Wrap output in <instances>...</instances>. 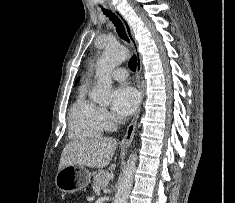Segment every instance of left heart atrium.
Segmentation results:
<instances>
[{
    "label": "left heart atrium",
    "instance_id": "obj_1",
    "mask_svg": "<svg viewBox=\"0 0 235 203\" xmlns=\"http://www.w3.org/2000/svg\"><path fill=\"white\" fill-rule=\"evenodd\" d=\"M139 104V94L131 86L122 85L112 93L111 108L114 114L120 118L130 116Z\"/></svg>",
    "mask_w": 235,
    "mask_h": 203
}]
</instances>
